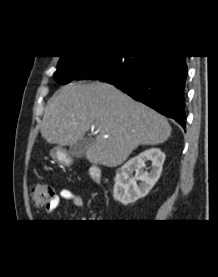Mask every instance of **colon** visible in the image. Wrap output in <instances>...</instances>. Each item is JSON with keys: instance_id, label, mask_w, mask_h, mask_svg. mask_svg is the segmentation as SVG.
Returning a JSON list of instances; mask_svg holds the SVG:
<instances>
[{"instance_id": "5ec220e1", "label": "colon", "mask_w": 218, "mask_h": 277, "mask_svg": "<svg viewBox=\"0 0 218 277\" xmlns=\"http://www.w3.org/2000/svg\"><path fill=\"white\" fill-rule=\"evenodd\" d=\"M53 188L45 183H35L31 186L30 197L32 203L37 208L46 207L54 198Z\"/></svg>"}]
</instances>
